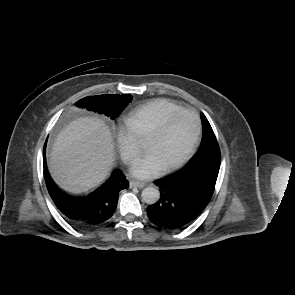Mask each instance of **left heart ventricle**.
I'll use <instances>...</instances> for the list:
<instances>
[{
	"label": "left heart ventricle",
	"instance_id": "1",
	"mask_svg": "<svg viewBox=\"0 0 295 295\" xmlns=\"http://www.w3.org/2000/svg\"><path fill=\"white\" fill-rule=\"evenodd\" d=\"M195 130L194 117L190 114H180L169 123L162 137L145 143V150L153 154L164 167L185 154L193 140Z\"/></svg>",
	"mask_w": 295,
	"mask_h": 295
}]
</instances>
